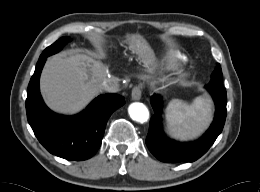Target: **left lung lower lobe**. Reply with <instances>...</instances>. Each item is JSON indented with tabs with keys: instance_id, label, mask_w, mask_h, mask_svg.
<instances>
[{
	"instance_id": "obj_1",
	"label": "left lung lower lobe",
	"mask_w": 260,
	"mask_h": 192,
	"mask_svg": "<svg viewBox=\"0 0 260 192\" xmlns=\"http://www.w3.org/2000/svg\"><path fill=\"white\" fill-rule=\"evenodd\" d=\"M205 88L215 102V117L206 133L199 140L191 143L172 141L165 136L160 117L161 98L156 94L151 97V105L155 114L150 121L146 145L150 152L160 161L166 163L193 162L206 153L221 133L227 113L226 90L222 84H207Z\"/></svg>"
}]
</instances>
